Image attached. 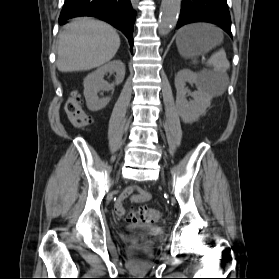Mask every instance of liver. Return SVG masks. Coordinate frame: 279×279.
I'll return each mask as SVG.
<instances>
[{"label": "liver", "instance_id": "liver-1", "mask_svg": "<svg viewBox=\"0 0 279 279\" xmlns=\"http://www.w3.org/2000/svg\"><path fill=\"white\" fill-rule=\"evenodd\" d=\"M120 47V37L107 23L76 18L59 34L56 66L61 72L86 71L110 61Z\"/></svg>", "mask_w": 279, "mask_h": 279}]
</instances>
